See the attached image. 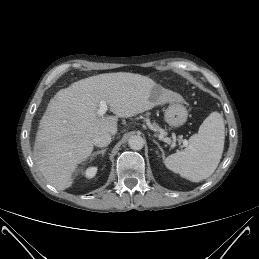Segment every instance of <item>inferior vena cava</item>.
<instances>
[{
  "label": "inferior vena cava",
  "mask_w": 259,
  "mask_h": 259,
  "mask_svg": "<svg viewBox=\"0 0 259 259\" xmlns=\"http://www.w3.org/2000/svg\"><path fill=\"white\" fill-rule=\"evenodd\" d=\"M111 142V134L109 132H103L97 135L93 139V144L97 147H105Z\"/></svg>",
  "instance_id": "602c4592"
}]
</instances>
